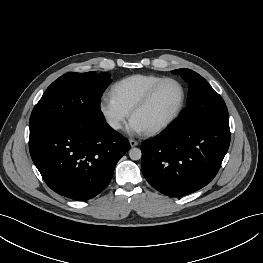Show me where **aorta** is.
<instances>
[{
    "instance_id": "aorta-1",
    "label": "aorta",
    "mask_w": 263,
    "mask_h": 263,
    "mask_svg": "<svg viewBox=\"0 0 263 263\" xmlns=\"http://www.w3.org/2000/svg\"><path fill=\"white\" fill-rule=\"evenodd\" d=\"M142 156L141 150L139 148H131L129 150V157L132 160H139Z\"/></svg>"
}]
</instances>
